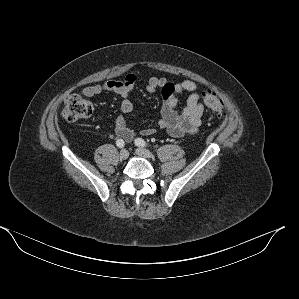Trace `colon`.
I'll return each instance as SVG.
<instances>
[{
  "label": "colon",
  "instance_id": "obj_1",
  "mask_svg": "<svg viewBox=\"0 0 299 299\" xmlns=\"http://www.w3.org/2000/svg\"><path fill=\"white\" fill-rule=\"evenodd\" d=\"M204 104L218 118H225L223 101L214 93L203 94ZM93 114V104L78 94L69 95L64 102L62 116L69 122H78L89 118Z\"/></svg>",
  "mask_w": 299,
  "mask_h": 299
}]
</instances>
